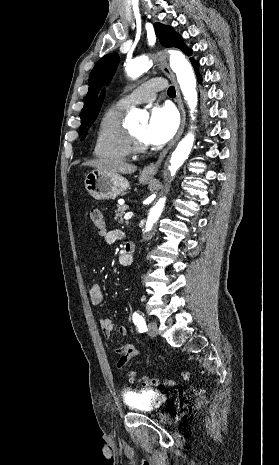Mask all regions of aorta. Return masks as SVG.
<instances>
[{
    "label": "aorta",
    "mask_w": 279,
    "mask_h": 465,
    "mask_svg": "<svg viewBox=\"0 0 279 465\" xmlns=\"http://www.w3.org/2000/svg\"><path fill=\"white\" fill-rule=\"evenodd\" d=\"M151 66L148 58L143 56L131 60L126 66V71L129 77L137 79ZM170 67L177 76V81L180 85L184 99L187 101L191 114L195 111L197 106V91L196 79L191 64L185 56L179 51L170 52ZM129 117L138 122L139 120L146 119L148 115L139 109H132ZM194 135L188 133L177 145L173 151L169 171L171 175H175L176 171L182 166L184 161L188 158L194 143ZM165 205V198H161L149 212L145 232H149L153 224L158 220Z\"/></svg>",
    "instance_id": "obj_1"
}]
</instances>
